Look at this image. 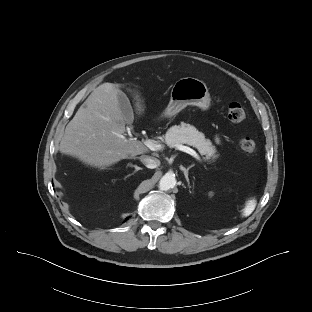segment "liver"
<instances>
[{"label":"liver","instance_id":"liver-1","mask_svg":"<svg viewBox=\"0 0 312 312\" xmlns=\"http://www.w3.org/2000/svg\"><path fill=\"white\" fill-rule=\"evenodd\" d=\"M121 86L103 83L93 90L67 124L59 144L61 153L106 169L122 159L148 152L140 141L123 135L126 118L118 100Z\"/></svg>","mask_w":312,"mask_h":312}]
</instances>
